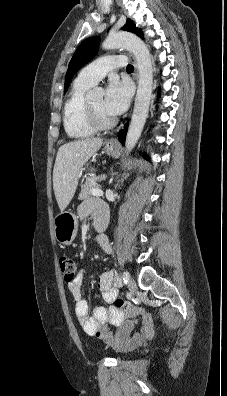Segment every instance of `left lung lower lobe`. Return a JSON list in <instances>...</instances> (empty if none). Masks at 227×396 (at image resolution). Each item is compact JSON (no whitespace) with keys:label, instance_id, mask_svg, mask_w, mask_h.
Returning a JSON list of instances; mask_svg holds the SVG:
<instances>
[{"label":"left lung lower lobe","instance_id":"left-lung-lower-lobe-1","mask_svg":"<svg viewBox=\"0 0 227 396\" xmlns=\"http://www.w3.org/2000/svg\"><path fill=\"white\" fill-rule=\"evenodd\" d=\"M127 127H128V124H126V125L124 126V129L126 130ZM125 137H126V131L120 130L119 133H118V139H119V141H120L122 144L125 143Z\"/></svg>","mask_w":227,"mask_h":396}]
</instances>
